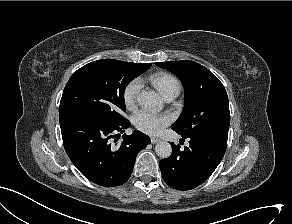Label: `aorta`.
Here are the masks:
<instances>
[{"mask_svg": "<svg viewBox=\"0 0 292 224\" xmlns=\"http://www.w3.org/2000/svg\"><path fill=\"white\" fill-rule=\"evenodd\" d=\"M138 103L145 108H159L162 105L160 96L153 91H142ZM155 152L161 158H168L172 154V147L170 143L161 141L156 144Z\"/></svg>", "mask_w": 292, "mask_h": 224, "instance_id": "obj_1", "label": "aorta"}]
</instances>
